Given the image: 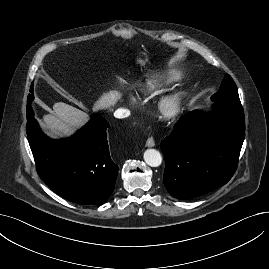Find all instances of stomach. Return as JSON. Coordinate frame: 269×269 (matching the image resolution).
<instances>
[{
	"instance_id": "obj_1",
	"label": "stomach",
	"mask_w": 269,
	"mask_h": 269,
	"mask_svg": "<svg viewBox=\"0 0 269 269\" xmlns=\"http://www.w3.org/2000/svg\"><path fill=\"white\" fill-rule=\"evenodd\" d=\"M149 58H150L149 51L144 49V50L138 51L135 54L134 60L140 66H145L147 63H149Z\"/></svg>"
}]
</instances>
